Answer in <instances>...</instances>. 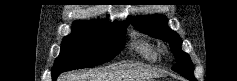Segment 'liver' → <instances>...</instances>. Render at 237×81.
I'll list each match as a JSON object with an SVG mask.
<instances>
[{
    "label": "liver",
    "mask_w": 237,
    "mask_h": 81,
    "mask_svg": "<svg viewBox=\"0 0 237 81\" xmlns=\"http://www.w3.org/2000/svg\"><path fill=\"white\" fill-rule=\"evenodd\" d=\"M159 74L151 69L139 66H116L66 73L60 81H146Z\"/></svg>",
    "instance_id": "liver-1"
}]
</instances>
